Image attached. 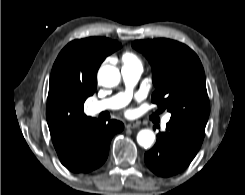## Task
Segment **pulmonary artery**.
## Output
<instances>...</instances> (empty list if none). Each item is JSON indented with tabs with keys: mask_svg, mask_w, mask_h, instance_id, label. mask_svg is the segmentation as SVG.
<instances>
[{
	"mask_svg": "<svg viewBox=\"0 0 245 195\" xmlns=\"http://www.w3.org/2000/svg\"><path fill=\"white\" fill-rule=\"evenodd\" d=\"M143 68L140 63H124L121 68V74L126 86L124 92L118 93L110 98L95 101L90 104L89 110L92 114H98L106 110H115L125 106L132 95V89L139 80L142 74ZM170 120V115H167L163 119V126Z\"/></svg>",
	"mask_w": 245,
	"mask_h": 195,
	"instance_id": "pulmonary-artery-1",
	"label": "pulmonary artery"
}]
</instances>
